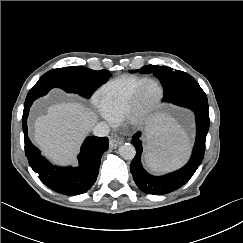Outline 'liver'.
Segmentation results:
<instances>
[{
    "mask_svg": "<svg viewBox=\"0 0 243 243\" xmlns=\"http://www.w3.org/2000/svg\"><path fill=\"white\" fill-rule=\"evenodd\" d=\"M96 122L94 111L80 102L56 103L36 118L34 141L54 162L75 165L80 144Z\"/></svg>",
    "mask_w": 243,
    "mask_h": 243,
    "instance_id": "6515ba94",
    "label": "liver"
}]
</instances>
